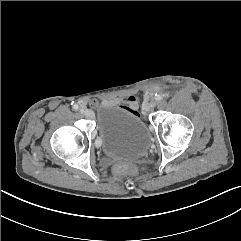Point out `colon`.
Segmentation results:
<instances>
[{
  "instance_id": "5ec220e1",
  "label": "colon",
  "mask_w": 241,
  "mask_h": 241,
  "mask_svg": "<svg viewBox=\"0 0 241 241\" xmlns=\"http://www.w3.org/2000/svg\"><path fill=\"white\" fill-rule=\"evenodd\" d=\"M117 174H132L135 172V167L131 163H123L115 168Z\"/></svg>"
}]
</instances>
